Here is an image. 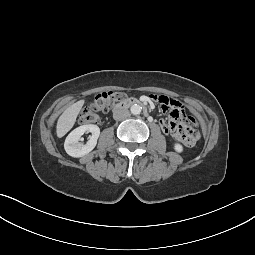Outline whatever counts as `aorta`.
<instances>
[{
    "instance_id": "762f6f07",
    "label": "aorta",
    "mask_w": 255,
    "mask_h": 255,
    "mask_svg": "<svg viewBox=\"0 0 255 255\" xmlns=\"http://www.w3.org/2000/svg\"><path fill=\"white\" fill-rule=\"evenodd\" d=\"M142 107L140 105L134 104L131 106L130 111L133 115H139L141 113Z\"/></svg>"
}]
</instances>
